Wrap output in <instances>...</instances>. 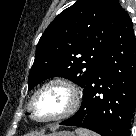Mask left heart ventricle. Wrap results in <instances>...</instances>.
<instances>
[{
    "label": "left heart ventricle",
    "mask_w": 136,
    "mask_h": 136,
    "mask_svg": "<svg viewBox=\"0 0 136 136\" xmlns=\"http://www.w3.org/2000/svg\"><path fill=\"white\" fill-rule=\"evenodd\" d=\"M68 103V93L59 86H53L37 96L33 105V111L38 118H49L63 112Z\"/></svg>",
    "instance_id": "b2bd125f"
}]
</instances>
